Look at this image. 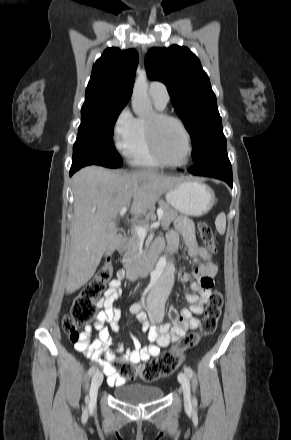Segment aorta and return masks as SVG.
<instances>
[{
    "mask_svg": "<svg viewBox=\"0 0 291 440\" xmlns=\"http://www.w3.org/2000/svg\"><path fill=\"white\" fill-rule=\"evenodd\" d=\"M132 109L138 116H146L152 111V103L148 96V83L145 70L138 72L132 94ZM173 280L174 274L169 266H165L162 272L153 277L147 298L149 305L161 303L166 300L173 285Z\"/></svg>",
    "mask_w": 291,
    "mask_h": 440,
    "instance_id": "aorta-1",
    "label": "aorta"
}]
</instances>
